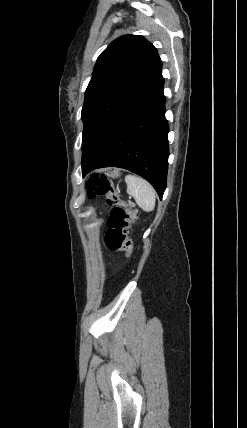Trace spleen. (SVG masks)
<instances>
[{"label":"spleen","mask_w":247,"mask_h":428,"mask_svg":"<svg viewBox=\"0 0 247 428\" xmlns=\"http://www.w3.org/2000/svg\"><path fill=\"white\" fill-rule=\"evenodd\" d=\"M127 193L134 197L140 208L150 212L155 207L156 192L154 188L144 179L128 175L125 179Z\"/></svg>","instance_id":"spleen-1"}]
</instances>
